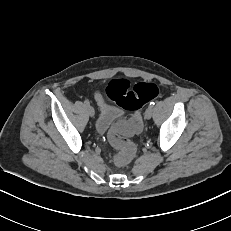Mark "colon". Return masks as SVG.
I'll return each mask as SVG.
<instances>
[{
	"label": "colon",
	"mask_w": 231,
	"mask_h": 231,
	"mask_svg": "<svg viewBox=\"0 0 231 231\" xmlns=\"http://www.w3.org/2000/svg\"><path fill=\"white\" fill-rule=\"evenodd\" d=\"M106 93L117 106L134 112L130 119V130L136 131L140 125L139 110L144 104L160 95V88L152 82H138L132 85L127 79L116 78L109 82ZM109 140L117 149L114 157L116 164L125 165L133 159L135 146L118 129L110 133Z\"/></svg>",
	"instance_id": "5ec220e1"
}]
</instances>
